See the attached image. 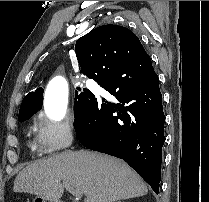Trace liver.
<instances>
[{
    "instance_id": "1",
    "label": "liver",
    "mask_w": 209,
    "mask_h": 202,
    "mask_svg": "<svg viewBox=\"0 0 209 202\" xmlns=\"http://www.w3.org/2000/svg\"><path fill=\"white\" fill-rule=\"evenodd\" d=\"M63 181L80 189L86 202H115L148 192L126 163L87 150L53 154L28 165L15 178L13 191L59 200Z\"/></svg>"
}]
</instances>
